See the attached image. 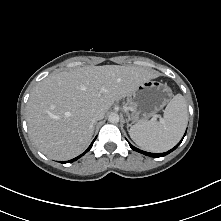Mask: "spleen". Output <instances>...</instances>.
<instances>
[{
  "label": "spleen",
  "mask_w": 221,
  "mask_h": 221,
  "mask_svg": "<svg viewBox=\"0 0 221 221\" xmlns=\"http://www.w3.org/2000/svg\"><path fill=\"white\" fill-rule=\"evenodd\" d=\"M188 120L187 105L181 94L175 95L158 122L142 120L129 130L131 139L142 149L165 152L175 146L184 134Z\"/></svg>",
  "instance_id": "spleen-1"
}]
</instances>
